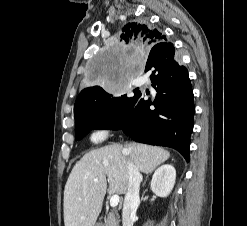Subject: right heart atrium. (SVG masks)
<instances>
[{"label":"right heart atrium","instance_id":"right-heart-atrium-1","mask_svg":"<svg viewBox=\"0 0 247 226\" xmlns=\"http://www.w3.org/2000/svg\"><path fill=\"white\" fill-rule=\"evenodd\" d=\"M111 131L110 127L97 128L91 134V141L93 143H101L109 138Z\"/></svg>","mask_w":247,"mask_h":226}]
</instances>
